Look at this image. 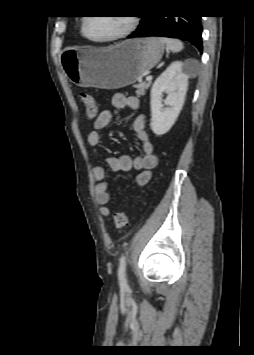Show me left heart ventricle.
<instances>
[{"label":"left heart ventricle","instance_id":"1","mask_svg":"<svg viewBox=\"0 0 254 355\" xmlns=\"http://www.w3.org/2000/svg\"><path fill=\"white\" fill-rule=\"evenodd\" d=\"M128 22L129 19L126 16L91 17L87 22L86 32L92 38H109L123 31Z\"/></svg>","mask_w":254,"mask_h":355}]
</instances>
